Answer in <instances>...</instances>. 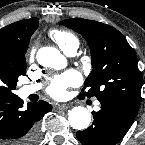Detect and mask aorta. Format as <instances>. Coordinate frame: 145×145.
I'll return each mask as SVG.
<instances>
[{
  "label": "aorta",
  "instance_id": "obj_1",
  "mask_svg": "<svg viewBox=\"0 0 145 145\" xmlns=\"http://www.w3.org/2000/svg\"><path fill=\"white\" fill-rule=\"evenodd\" d=\"M36 58L38 63L44 67L60 70L67 66L66 58L54 47L40 48ZM68 120L72 128L84 130L91 122V113L83 106L74 107L69 111Z\"/></svg>",
  "mask_w": 145,
  "mask_h": 145
}]
</instances>
